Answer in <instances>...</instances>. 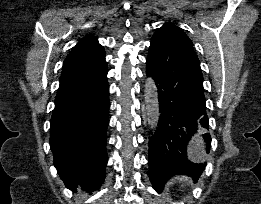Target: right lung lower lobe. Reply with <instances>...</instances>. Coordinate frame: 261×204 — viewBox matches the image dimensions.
I'll return each instance as SVG.
<instances>
[{
	"label": "right lung lower lobe",
	"mask_w": 261,
	"mask_h": 204,
	"mask_svg": "<svg viewBox=\"0 0 261 204\" xmlns=\"http://www.w3.org/2000/svg\"><path fill=\"white\" fill-rule=\"evenodd\" d=\"M107 63L63 73L51 118L54 165L67 188L94 190L105 178L109 116Z\"/></svg>",
	"instance_id": "98d812e1"
}]
</instances>
